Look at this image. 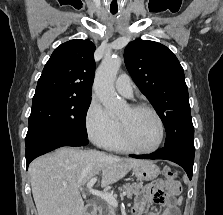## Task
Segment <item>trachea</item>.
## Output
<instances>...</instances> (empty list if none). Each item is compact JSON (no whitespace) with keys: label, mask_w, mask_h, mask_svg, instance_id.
<instances>
[{"label":"trachea","mask_w":223,"mask_h":215,"mask_svg":"<svg viewBox=\"0 0 223 215\" xmlns=\"http://www.w3.org/2000/svg\"><path fill=\"white\" fill-rule=\"evenodd\" d=\"M110 12L114 15L118 12V10H110Z\"/></svg>","instance_id":"3493384b"}]
</instances>
